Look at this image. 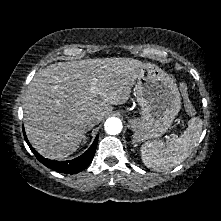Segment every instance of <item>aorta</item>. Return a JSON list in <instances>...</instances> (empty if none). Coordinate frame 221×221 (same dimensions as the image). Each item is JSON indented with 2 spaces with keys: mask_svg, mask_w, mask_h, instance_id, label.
Wrapping results in <instances>:
<instances>
[{
  "mask_svg": "<svg viewBox=\"0 0 221 221\" xmlns=\"http://www.w3.org/2000/svg\"><path fill=\"white\" fill-rule=\"evenodd\" d=\"M104 128L108 134L116 135L122 130V122L118 118L111 117L106 120Z\"/></svg>",
  "mask_w": 221,
  "mask_h": 221,
  "instance_id": "762f6f07",
  "label": "aorta"
}]
</instances>
